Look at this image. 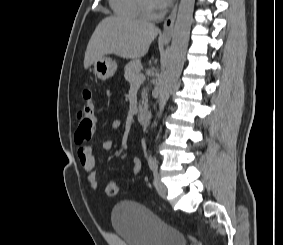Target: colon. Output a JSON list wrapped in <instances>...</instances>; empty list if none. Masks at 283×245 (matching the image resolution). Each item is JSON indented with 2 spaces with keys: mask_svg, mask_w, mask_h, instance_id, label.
Wrapping results in <instances>:
<instances>
[{
  "mask_svg": "<svg viewBox=\"0 0 283 245\" xmlns=\"http://www.w3.org/2000/svg\"><path fill=\"white\" fill-rule=\"evenodd\" d=\"M78 128L75 133V142L83 144L89 142L94 134L95 128V110L93 102V93L90 86L84 87L82 91V103L77 113ZM118 186L111 181L106 186V194L114 197L118 194Z\"/></svg>",
  "mask_w": 283,
  "mask_h": 245,
  "instance_id": "1",
  "label": "colon"
}]
</instances>
